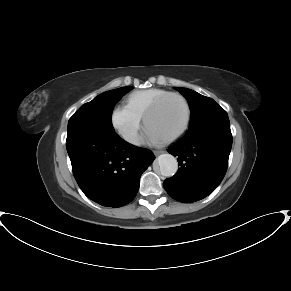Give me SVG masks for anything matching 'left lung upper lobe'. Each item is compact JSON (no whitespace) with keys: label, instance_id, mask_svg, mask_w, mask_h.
<instances>
[{"label":"left lung upper lobe","instance_id":"1","mask_svg":"<svg viewBox=\"0 0 291 291\" xmlns=\"http://www.w3.org/2000/svg\"><path fill=\"white\" fill-rule=\"evenodd\" d=\"M177 90L188 100L191 109V121L187 133L197 131L214 121L228 118L227 112L213 99L187 88H177Z\"/></svg>","mask_w":291,"mask_h":291}]
</instances>
